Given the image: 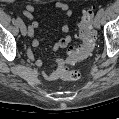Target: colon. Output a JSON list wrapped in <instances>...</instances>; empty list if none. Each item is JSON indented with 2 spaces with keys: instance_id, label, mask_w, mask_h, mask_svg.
Returning a JSON list of instances; mask_svg holds the SVG:
<instances>
[{
  "instance_id": "colon-1",
  "label": "colon",
  "mask_w": 119,
  "mask_h": 119,
  "mask_svg": "<svg viewBox=\"0 0 119 119\" xmlns=\"http://www.w3.org/2000/svg\"><path fill=\"white\" fill-rule=\"evenodd\" d=\"M94 9L88 8L83 14L78 27L77 37L81 43L76 47H70L66 60L63 62L60 78L63 80L75 81L80 78V73L77 70H70L69 66H73L86 59L94 47V32L92 21Z\"/></svg>"
}]
</instances>
